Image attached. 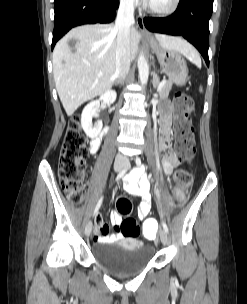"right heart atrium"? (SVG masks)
I'll list each match as a JSON object with an SVG mask.
<instances>
[{
    "instance_id": "right-heart-atrium-1",
    "label": "right heart atrium",
    "mask_w": 247,
    "mask_h": 304,
    "mask_svg": "<svg viewBox=\"0 0 247 304\" xmlns=\"http://www.w3.org/2000/svg\"><path fill=\"white\" fill-rule=\"evenodd\" d=\"M120 3L126 7H134L137 5L138 0H119Z\"/></svg>"
}]
</instances>
